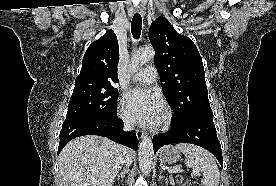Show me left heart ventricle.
Here are the masks:
<instances>
[{"instance_id":"1","label":"left heart ventricle","mask_w":276,"mask_h":186,"mask_svg":"<svg viewBox=\"0 0 276 186\" xmlns=\"http://www.w3.org/2000/svg\"><path fill=\"white\" fill-rule=\"evenodd\" d=\"M161 118H162V112L160 113V115H159V117H158V119H157V121H156V122L160 121V120H161Z\"/></svg>"}]
</instances>
